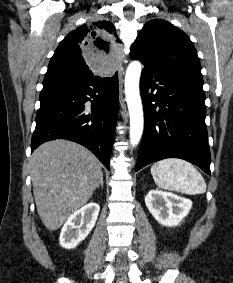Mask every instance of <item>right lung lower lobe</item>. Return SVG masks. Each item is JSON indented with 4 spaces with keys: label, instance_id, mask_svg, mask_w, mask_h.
<instances>
[{
    "label": "right lung lower lobe",
    "instance_id": "obj_1",
    "mask_svg": "<svg viewBox=\"0 0 233 283\" xmlns=\"http://www.w3.org/2000/svg\"><path fill=\"white\" fill-rule=\"evenodd\" d=\"M117 111V73L45 80L31 152L46 141L68 139L87 147L109 169Z\"/></svg>",
    "mask_w": 233,
    "mask_h": 283
}]
</instances>
